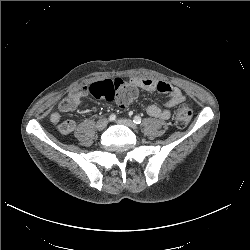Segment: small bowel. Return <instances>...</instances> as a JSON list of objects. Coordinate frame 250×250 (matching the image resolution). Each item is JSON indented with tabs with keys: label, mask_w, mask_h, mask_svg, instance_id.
<instances>
[{
	"label": "small bowel",
	"mask_w": 250,
	"mask_h": 250,
	"mask_svg": "<svg viewBox=\"0 0 250 250\" xmlns=\"http://www.w3.org/2000/svg\"><path fill=\"white\" fill-rule=\"evenodd\" d=\"M115 81L120 84V87L132 88L135 93L137 90L141 89L145 91H158L168 94L169 100L167 101L164 109H161L156 105H150L147 108V114L153 118L163 120L169 119L172 108L185 100V96L178 87L164 81H157L150 78H131L128 82H124L121 79H115ZM87 95V87L71 92L59 103V111L51 114V123L57 126L58 131L62 135L72 133L76 128V124L72 120L62 121L61 113L74 111L84 101Z\"/></svg>",
	"instance_id": "obj_1"
}]
</instances>
